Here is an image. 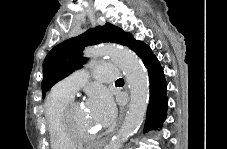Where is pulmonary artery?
I'll return each mask as SVG.
<instances>
[{
  "mask_svg": "<svg viewBox=\"0 0 227 149\" xmlns=\"http://www.w3.org/2000/svg\"><path fill=\"white\" fill-rule=\"evenodd\" d=\"M95 74L99 82L116 81L119 78V69L108 63L98 64L95 67ZM86 78L87 76L83 71L75 72L60 81L54 89L73 97L74 94L84 85Z\"/></svg>",
  "mask_w": 227,
  "mask_h": 149,
  "instance_id": "e3ab8cb5",
  "label": "pulmonary artery"
}]
</instances>
